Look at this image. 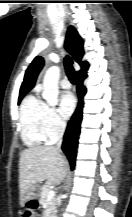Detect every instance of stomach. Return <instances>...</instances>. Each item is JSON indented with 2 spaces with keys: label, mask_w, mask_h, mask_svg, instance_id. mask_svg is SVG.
Listing matches in <instances>:
<instances>
[{
  "label": "stomach",
  "mask_w": 132,
  "mask_h": 217,
  "mask_svg": "<svg viewBox=\"0 0 132 217\" xmlns=\"http://www.w3.org/2000/svg\"><path fill=\"white\" fill-rule=\"evenodd\" d=\"M41 194V186L39 184H34L25 194L23 202H28L33 199L39 198Z\"/></svg>",
  "instance_id": "0dacf381"
}]
</instances>
